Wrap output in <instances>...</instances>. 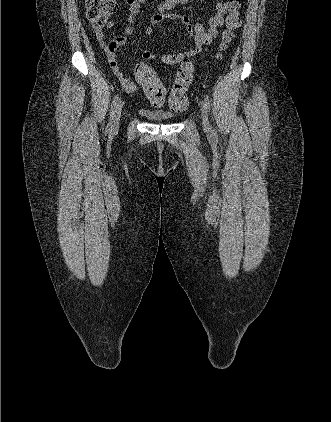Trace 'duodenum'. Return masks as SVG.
<instances>
[{
    "mask_svg": "<svg viewBox=\"0 0 331 422\" xmlns=\"http://www.w3.org/2000/svg\"><path fill=\"white\" fill-rule=\"evenodd\" d=\"M166 2H168L170 5H174V3L177 1V0H165Z\"/></svg>",
    "mask_w": 331,
    "mask_h": 422,
    "instance_id": "410a0bca",
    "label": "duodenum"
}]
</instances>
